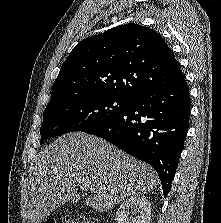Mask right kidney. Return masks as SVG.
Segmentation results:
<instances>
[{"mask_svg": "<svg viewBox=\"0 0 221 223\" xmlns=\"http://www.w3.org/2000/svg\"><path fill=\"white\" fill-rule=\"evenodd\" d=\"M139 213L138 216L129 217V209ZM151 204L144 196H131L117 209L115 220L118 223H150Z\"/></svg>", "mask_w": 221, "mask_h": 223, "instance_id": "obj_1", "label": "right kidney"}]
</instances>
